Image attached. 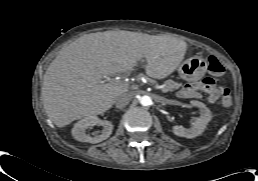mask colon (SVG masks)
<instances>
[{"label":"colon","instance_id":"5ec220e1","mask_svg":"<svg viewBox=\"0 0 258 181\" xmlns=\"http://www.w3.org/2000/svg\"><path fill=\"white\" fill-rule=\"evenodd\" d=\"M208 70L210 73L216 76H221L225 69L223 65L215 58V57H210L208 60ZM222 105L224 107H229L232 104V96H231V91L229 88L225 87L222 89Z\"/></svg>","mask_w":258,"mask_h":181}]
</instances>
